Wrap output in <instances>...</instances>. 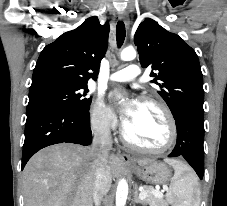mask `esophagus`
<instances>
[{"label": "esophagus", "instance_id": "1", "mask_svg": "<svg viewBox=\"0 0 227 206\" xmlns=\"http://www.w3.org/2000/svg\"><path fill=\"white\" fill-rule=\"evenodd\" d=\"M119 19L122 20V21H124V23H125V25L127 27L129 26V19H128V16H127V13L126 12H121L119 14ZM120 157H121V159L123 161H126V162H128V161L131 160L130 156L128 154H126V153H123V152L120 154Z\"/></svg>", "mask_w": 227, "mask_h": 206}]
</instances>
